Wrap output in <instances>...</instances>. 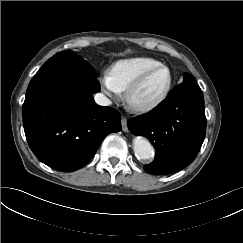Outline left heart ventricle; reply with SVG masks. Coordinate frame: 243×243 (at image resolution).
<instances>
[{
    "label": "left heart ventricle",
    "mask_w": 243,
    "mask_h": 243,
    "mask_svg": "<svg viewBox=\"0 0 243 243\" xmlns=\"http://www.w3.org/2000/svg\"><path fill=\"white\" fill-rule=\"evenodd\" d=\"M168 79L166 70L153 72L136 92L134 99L137 102H145L156 97L165 87Z\"/></svg>",
    "instance_id": "left-heart-ventricle-1"
}]
</instances>
